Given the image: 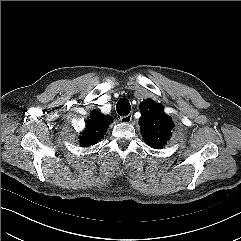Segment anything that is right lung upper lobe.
<instances>
[{
	"label": "right lung upper lobe",
	"mask_w": 241,
	"mask_h": 241,
	"mask_svg": "<svg viewBox=\"0 0 241 241\" xmlns=\"http://www.w3.org/2000/svg\"><path fill=\"white\" fill-rule=\"evenodd\" d=\"M111 121L110 117L94 112L90 120H87L86 129L80 136L81 146L89 147L100 140Z\"/></svg>",
	"instance_id": "1"
}]
</instances>
